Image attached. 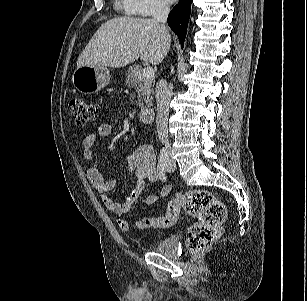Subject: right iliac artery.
<instances>
[{
	"label": "right iliac artery",
	"instance_id": "right-iliac-artery-1",
	"mask_svg": "<svg viewBox=\"0 0 307 301\" xmlns=\"http://www.w3.org/2000/svg\"><path fill=\"white\" fill-rule=\"evenodd\" d=\"M167 162H168L167 149L162 148L161 151H160V154H159L157 168H158V172H159V178L164 182L167 180V176H166Z\"/></svg>",
	"mask_w": 307,
	"mask_h": 301
}]
</instances>
